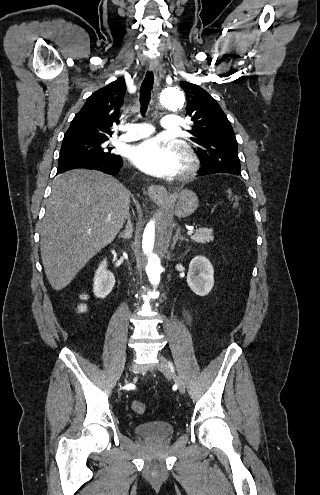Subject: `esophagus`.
Listing matches in <instances>:
<instances>
[{"label": "esophagus", "instance_id": "obj_1", "mask_svg": "<svg viewBox=\"0 0 320 495\" xmlns=\"http://www.w3.org/2000/svg\"><path fill=\"white\" fill-rule=\"evenodd\" d=\"M149 70L154 74V88L156 90L161 80V67L157 61H151L149 64ZM147 192L149 197L155 202L162 201L167 196L166 188L161 185H150L147 189Z\"/></svg>", "mask_w": 320, "mask_h": 495}]
</instances>
